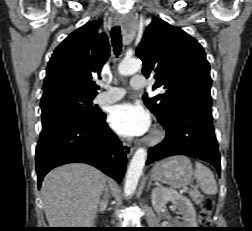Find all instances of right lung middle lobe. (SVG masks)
I'll return each mask as SVG.
<instances>
[{
  "instance_id": "1",
  "label": "right lung middle lobe",
  "mask_w": 252,
  "mask_h": 231,
  "mask_svg": "<svg viewBox=\"0 0 252 231\" xmlns=\"http://www.w3.org/2000/svg\"><path fill=\"white\" fill-rule=\"evenodd\" d=\"M94 96L60 94L41 100L42 126L62 118L92 119L100 111L92 106Z\"/></svg>"
}]
</instances>
